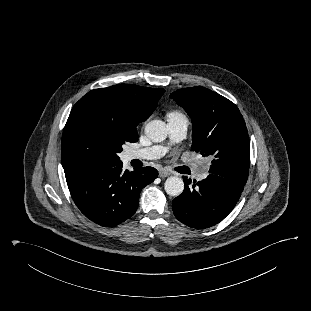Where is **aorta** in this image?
<instances>
[{
  "label": "aorta",
  "instance_id": "762f6f07",
  "mask_svg": "<svg viewBox=\"0 0 311 311\" xmlns=\"http://www.w3.org/2000/svg\"><path fill=\"white\" fill-rule=\"evenodd\" d=\"M146 136L153 142H162L167 137V128L165 122L161 120H152L145 126ZM166 193L177 197L184 190V182L181 178L171 176L166 179L164 184Z\"/></svg>",
  "mask_w": 311,
  "mask_h": 311
}]
</instances>
